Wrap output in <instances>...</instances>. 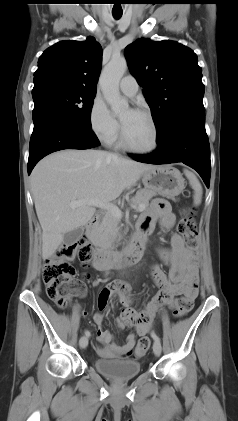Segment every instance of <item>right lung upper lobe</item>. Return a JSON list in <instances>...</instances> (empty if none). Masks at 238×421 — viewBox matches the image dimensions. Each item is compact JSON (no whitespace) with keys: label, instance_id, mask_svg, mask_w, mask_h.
Here are the masks:
<instances>
[{"label":"right lung upper lobe","instance_id":"1","mask_svg":"<svg viewBox=\"0 0 238 421\" xmlns=\"http://www.w3.org/2000/svg\"><path fill=\"white\" fill-rule=\"evenodd\" d=\"M101 63L102 48L93 37L84 42L60 41L40 56L34 86L59 83L96 91Z\"/></svg>","mask_w":238,"mask_h":421}]
</instances>
